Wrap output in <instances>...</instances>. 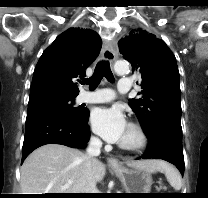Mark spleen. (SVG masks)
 I'll use <instances>...</instances> for the list:
<instances>
[{
    "label": "spleen",
    "mask_w": 208,
    "mask_h": 198,
    "mask_svg": "<svg viewBox=\"0 0 208 198\" xmlns=\"http://www.w3.org/2000/svg\"><path fill=\"white\" fill-rule=\"evenodd\" d=\"M162 171L165 173L167 181L175 189L180 190L182 187V179L179 172L168 163L162 164Z\"/></svg>",
    "instance_id": "1"
}]
</instances>
